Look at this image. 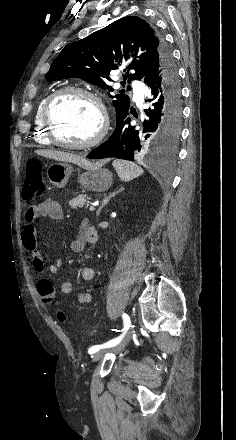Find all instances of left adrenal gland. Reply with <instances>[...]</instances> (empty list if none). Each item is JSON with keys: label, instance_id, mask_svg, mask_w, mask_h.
<instances>
[{"label": "left adrenal gland", "instance_id": "obj_1", "mask_svg": "<svg viewBox=\"0 0 236 440\" xmlns=\"http://www.w3.org/2000/svg\"><path fill=\"white\" fill-rule=\"evenodd\" d=\"M123 190H124V188H123V187H120L117 191H115V192L109 194V196H105V198H104V200H103L101 206H100L99 209L97 210L96 215L99 216V214H100L102 208H103L106 204H108L109 200H110L112 197H114L117 193H119V192H121V191H123Z\"/></svg>", "mask_w": 236, "mask_h": 440}]
</instances>
